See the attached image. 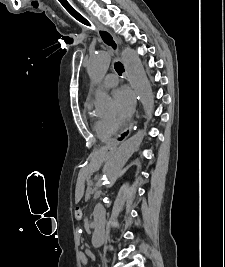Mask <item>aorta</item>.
<instances>
[{
    "label": "aorta",
    "instance_id": "aorta-1",
    "mask_svg": "<svg viewBox=\"0 0 225 267\" xmlns=\"http://www.w3.org/2000/svg\"><path fill=\"white\" fill-rule=\"evenodd\" d=\"M121 60L128 80L141 100L146 118L150 119L154 109V97L142 62L137 53L131 48H125L122 51ZM109 66L110 57L105 51H100L89 59L87 71L93 81L100 83L107 73ZM111 105L112 100L106 93L101 92L98 94L95 100V106L98 110L105 111L109 109ZM144 135V131H139L123 142L116 150L104 171V183L107 187H111L114 184L126 162L140 146ZM105 216L106 210L103 204L98 202L93 211L95 229L92 236V245L94 247H99L103 243Z\"/></svg>",
    "mask_w": 225,
    "mask_h": 267
}]
</instances>
